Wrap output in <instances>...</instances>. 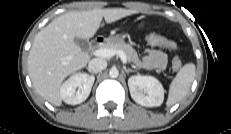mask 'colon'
<instances>
[{
  "mask_svg": "<svg viewBox=\"0 0 231 134\" xmlns=\"http://www.w3.org/2000/svg\"><path fill=\"white\" fill-rule=\"evenodd\" d=\"M146 43L151 47H164L168 48L172 51L177 50V45L174 41L167 39L163 36L157 34H150L146 38ZM182 63L178 55H174L172 59V68L174 71H178L181 69Z\"/></svg>",
  "mask_w": 231,
  "mask_h": 134,
  "instance_id": "1",
  "label": "colon"
}]
</instances>
